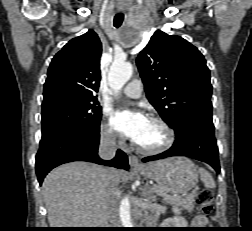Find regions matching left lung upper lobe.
Here are the masks:
<instances>
[{"label": "left lung upper lobe", "instance_id": "left-lung-upper-lobe-1", "mask_svg": "<svg viewBox=\"0 0 252 231\" xmlns=\"http://www.w3.org/2000/svg\"><path fill=\"white\" fill-rule=\"evenodd\" d=\"M136 64L147 98L172 128L189 115L212 116L210 71L191 43L156 31Z\"/></svg>", "mask_w": 252, "mask_h": 231}]
</instances>
